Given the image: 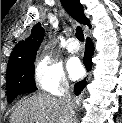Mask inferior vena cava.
I'll use <instances>...</instances> for the list:
<instances>
[{"instance_id":"inferior-vena-cava-1","label":"inferior vena cava","mask_w":122,"mask_h":123,"mask_svg":"<svg viewBox=\"0 0 122 123\" xmlns=\"http://www.w3.org/2000/svg\"><path fill=\"white\" fill-rule=\"evenodd\" d=\"M64 86H65V93L63 98L61 99L63 113L65 116H74L75 113L73 111L72 95L70 92V88L67 83H65Z\"/></svg>"}]
</instances>
